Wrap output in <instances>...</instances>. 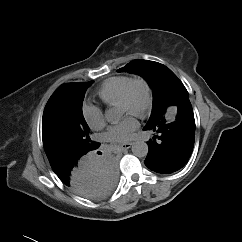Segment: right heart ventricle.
<instances>
[{
    "label": "right heart ventricle",
    "instance_id": "1",
    "mask_svg": "<svg viewBox=\"0 0 242 242\" xmlns=\"http://www.w3.org/2000/svg\"><path fill=\"white\" fill-rule=\"evenodd\" d=\"M132 77L128 75L114 76L104 81L97 90V95L108 106L117 105L122 92Z\"/></svg>",
    "mask_w": 242,
    "mask_h": 242
}]
</instances>
